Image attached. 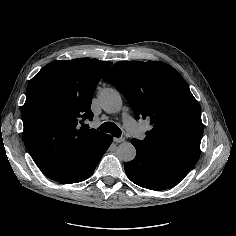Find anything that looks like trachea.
Here are the masks:
<instances>
[{"mask_svg":"<svg viewBox=\"0 0 236 236\" xmlns=\"http://www.w3.org/2000/svg\"><path fill=\"white\" fill-rule=\"evenodd\" d=\"M88 128L89 126L86 125V129ZM97 129L102 132L110 133L114 137H117V138L121 137V129L113 122H105L102 125H100V127H98Z\"/></svg>","mask_w":236,"mask_h":236,"instance_id":"obj_1","label":"trachea"}]
</instances>
